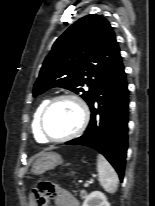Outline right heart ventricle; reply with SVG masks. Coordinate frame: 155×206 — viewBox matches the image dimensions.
I'll list each match as a JSON object with an SVG mask.
<instances>
[{"instance_id": "obj_1", "label": "right heart ventricle", "mask_w": 155, "mask_h": 206, "mask_svg": "<svg viewBox=\"0 0 155 206\" xmlns=\"http://www.w3.org/2000/svg\"><path fill=\"white\" fill-rule=\"evenodd\" d=\"M48 103V99H43L39 105L37 106L34 116H33V121H32V132L34 135V138L36 139L37 142L39 143H45L46 141L43 139V137L41 136L40 132H39V128H38V122H39V117L40 114L43 110V108L45 107V105Z\"/></svg>"}]
</instances>
